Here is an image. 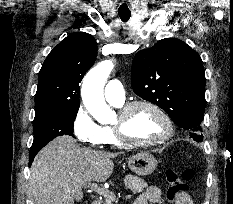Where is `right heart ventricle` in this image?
Segmentation results:
<instances>
[{
	"mask_svg": "<svg viewBox=\"0 0 233 204\" xmlns=\"http://www.w3.org/2000/svg\"><path fill=\"white\" fill-rule=\"evenodd\" d=\"M114 106L120 107L121 104L112 103ZM103 133V144L113 145V146H120L122 145L118 139L116 138L112 126L104 125L101 127Z\"/></svg>",
	"mask_w": 233,
	"mask_h": 204,
	"instance_id": "obj_1",
	"label": "right heart ventricle"
}]
</instances>
